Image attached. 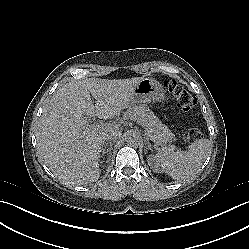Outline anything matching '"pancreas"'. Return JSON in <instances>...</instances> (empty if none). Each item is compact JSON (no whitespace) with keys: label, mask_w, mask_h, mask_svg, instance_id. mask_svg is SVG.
I'll return each mask as SVG.
<instances>
[{"label":"pancreas","mask_w":249,"mask_h":249,"mask_svg":"<svg viewBox=\"0 0 249 249\" xmlns=\"http://www.w3.org/2000/svg\"><path fill=\"white\" fill-rule=\"evenodd\" d=\"M124 116L142 125L154 142L165 143L174 139L173 134L145 104L130 107Z\"/></svg>","instance_id":"pancreas-1"}]
</instances>
